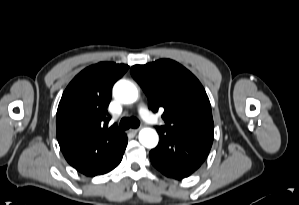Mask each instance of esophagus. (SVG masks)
<instances>
[{
	"instance_id": "esophagus-1",
	"label": "esophagus",
	"mask_w": 299,
	"mask_h": 205,
	"mask_svg": "<svg viewBox=\"0 0 299 205\" xmlns=\"http://www.w3.org/2000/svg\"><path fill=\"white\" fill-rule=\"evenodd\" d=\"M139 130H140V128L131 129V130H130V132H132V133L136 134V133H138V132H139Z\"/></svg>"
}]
</instances>
